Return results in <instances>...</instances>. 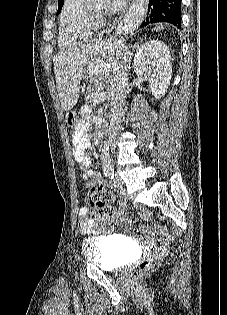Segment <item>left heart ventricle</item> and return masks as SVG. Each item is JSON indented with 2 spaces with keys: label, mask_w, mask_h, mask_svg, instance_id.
Instances as JSON below:
<instances>
[{
  "label": "left heart ventricle",
  "mask_w": 227,
  "mask_h": 315,
  "mask_svg": "<svg viewBox=\"0 0 227 315\" xmlns=\"http://www.w3.org/2000/svg\"><path fill=\"white\" fill-rule=\"evenodd\" d=\"M89 8H90L92 11H94V12H99V10H100V8L95 7V6H90Z\"/></svg>",
  "instance_id": "obj_1"
}]
</instances>
